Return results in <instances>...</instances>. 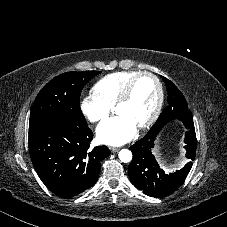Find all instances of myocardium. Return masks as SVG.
Returning a JSON list of instances; mask_svg holds the SVG:
<instances>
[{
  "instance_id": "obj_1",
  "label": "myocardium",
  "mask_w": 227,
  "mask_h": 227,
  "mask_svg": "<svg viewBox=\"0 0 227 227\" xmlns=\"http://www.w3.org/2000/svg\"><path fill=\"white\" fill-rule=\"evenodd\" d=\"M143 76H148L150 77L156 84L157 87V102L154 108L153 113L151 114V116L142 124H140L138 126V128L140 129H146L148 127H150L151 125H153L156 120L159 117V114L161 112L162 106H163V101H164V91H163V85L160 81V79L152 72L149 71H141L138 72L136 75H134L125 85L124 89L122 90L120 96L118 97V99L115 102V109L120 106L121 104H124L125 102H127L133 92L134 86L137 82V80Z\"/></svg>"
}]
</instances>
